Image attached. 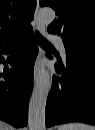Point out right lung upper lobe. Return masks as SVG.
Instances as JSON below:
<instances>
[{
  "instance_id": "right-lung-upper-lobe-1",
  "label": "right lung upper lobe",
  "mask_w": 95,
  "mask_h": 130,
  "mask_svg": "<svg viewBox=\"0 0 95 130\" xmlns=\"http://www.w3.org/2000/svg\"><path fill=\"white\" fill-rule=\"evenodd\" d=\"M36 0H0V48L32 31Z\"/></svg>"
}]
</instances>
